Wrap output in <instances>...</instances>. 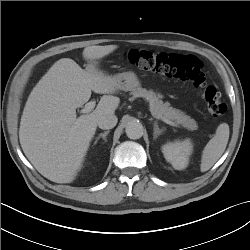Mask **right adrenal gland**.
<instances>
[{
  "mask_svg": "<svg viewBox=\"0 0 250 250\" xmlns=\"http://www.w3.org/2000/svg\"><path fill=\"white\" fill-rule=\"evenodd\" d=\"M110 131H106L104 133L99 134V136L96 138L95 144L97 143V141L102 138L104 141H106V136L109 134Z\"/></svg>",
  "mask_w": 250,
  "mask_h": 250,
  "instance_id": "right-adrenal-gland-1",
  "label": "right adrenal gland"
}]
</instances>
